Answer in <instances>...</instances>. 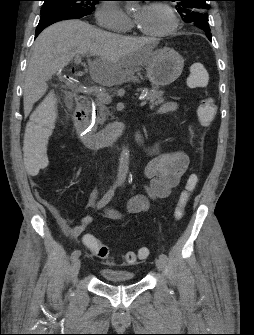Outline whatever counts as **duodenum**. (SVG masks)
Masks as SVG:
<instances>
[{
  "label": "duodenum",
  "instance_id": "obj_1",
  "mask_svg": "<svg viewBox=\"0 0 254 335\" xmlns=\"http://www.w3.org/2000/svg\"><path fill=\"white\" fill-rule=\"evenodd\" d=\"M76 109L74 114L75 128L80 140L89 149H100L108 147L113 144L117 137H119L123 130V124H111L104 130L94 133L90 129L89 110L90 101L85 95H78L75 98ZM138 140L141 135H137Z\"/></svg>",
  "mask_w": 254,
  "mask_h": 335
}]
</instances>
